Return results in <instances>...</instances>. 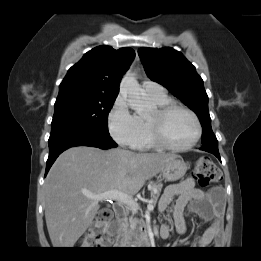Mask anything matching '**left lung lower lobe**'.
Here are the masks:
<instances>
[{"mask_svg": "<svg viewBox=\"0 0 261 261\" xmlns=\"http://www.w3.org/2000/svg\"><path fill=\"white\" fill-rule=\"evenodd\" d=\"M200 150L212 153L213 155H215L221 161V158H220V155H219V151H218V145H203L200 148Z\"/></svg>", "mask_w": 261, "mask_h": 261, "instance_id": "1", "label": "left lung lower lobe"}]
</instances>
